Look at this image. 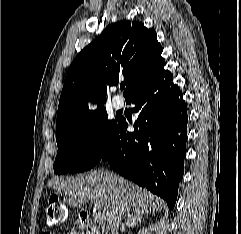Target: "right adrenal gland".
I'll use <instances>...</instances> for the list:
<instances>
[{"label": "right adrenal gland", "mask_w": 241, "mask_h": 234, "mask_svg": "<svg viewBox=\"0 0 241 234\" xmlns=\"http://www.w3.org/2000/svg\"><path fill=\"white\" fill-rule=\"evenodd\" d=\"M142 216L135 215V216H128L124 223H122L120 227V231H125L126 228H133L136 227L138 222L141 223Z\"/></svg>", "instance_id": "2a0ac1e0"}]
</instances>
